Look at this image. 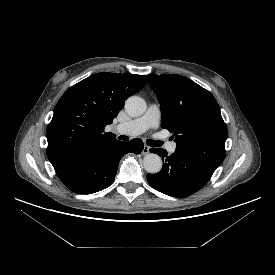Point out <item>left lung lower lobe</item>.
I'll return each instance as SVG.
<instances>
[{
    "mask_svg": "<svg viewBox=\"0 0 275 275\" xmlns=\"http://www.w3.org/2000/svg\"><path fill=\"white\" fill-rule=\"evenodd\" d=\"M150 152L162 158L163 167L159 173L147 175L148 183L172 197H187L197 192L215 171L176 151L170 156L162 148H151Z\"/></svg>",
    "mask_w": 275,
    "mask_h": 275,
    "instance_id": "0a47b994",
    "label": "left lung lower lobe"
}]
</instances>
